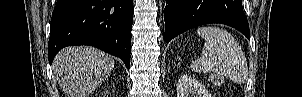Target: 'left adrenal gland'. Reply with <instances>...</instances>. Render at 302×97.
Listing matches in <instances>:
<instances>
[{"instance_id":"a2214340","label":"left adrenal gland","mask_w":302,"mask_h":97,"mask_svg":"<svg viewBox=\"0 0 302 97\" xmlns=\"http://www.w3.org/2000/svg\"><path fill=\"white\" fill-rule=\"evenodd\" d=\"M176 59H177V60H180V57H177Z\"/></svg>"}]
</instances>
